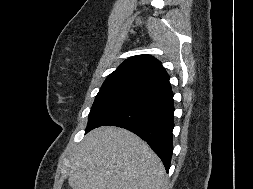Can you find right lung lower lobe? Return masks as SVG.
I'll list each match as a JSON object with an SVG mask.
<instances>
[{
    "label": "right lung lower lobe",
    "mask_w": 253,
    "mask_h": 189,
    "mask_svg": "<svg viewBox=\"0 0 253 189\" xmlns=\"http://www.w3.org/2000/svg\"><path fill=\"white\" fill-rule=\"evenodd\" d=\"M173 113V93L168 85L148 92L137 101L114 111L93 127L86 129L85 133L105 125L128 129L149 144L168 172L173 150Z\"/></svg>",
    "instance_id": "1"
}]
</instances>
